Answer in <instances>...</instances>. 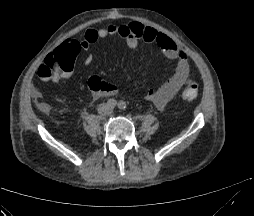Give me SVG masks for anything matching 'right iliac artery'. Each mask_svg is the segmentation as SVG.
Masks as SVG:
<instances>
[{
  "instance_id": "right-iliac-artery-1",
  "label": "right iliac artery",
  "mask_w": 254,
  "mask_h": 216,
  "mask_svg": "<svg viewBox=\"0 0 254 216\" xmlns=\"http://www.w3.org/2000/svg\"><path fill=\"white\" fill-rule=\"evenodd\" d=\"M108 106L115 107L117 105V101L115 99H109L107 101Z\"/></svg>"
}]
</instances>
